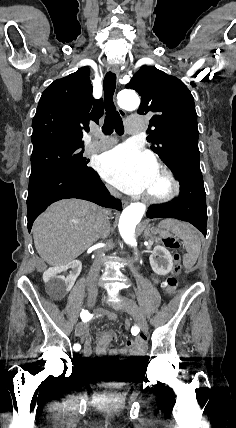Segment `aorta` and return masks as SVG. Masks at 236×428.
I'll list each match as a JSON object with an SVG mask.
<instances>
[{"mask_svg":"<svg viewBox=\"0 0 236 428\" xmlns=\"http://www.w3.org/2000/svg\"><path fill=\"white\" fill-rule=\"evenodd\" d=\"M118 104L125 110H135L139 107L140 99L137 93L133 90H122L117 96ZM146 206L142 203H132L127 206L119 219V232L126 244L133 247L135 254L137 252V240L135 236V229L141 221ZM137 259V258H136Z\"/></svg>","mask_w":236,"mask_h":428,"instance_id":"aorta-1","label":"aorta"}]
</instances>
